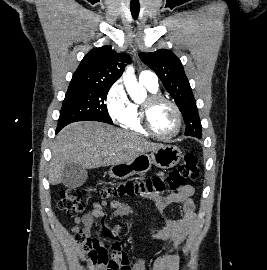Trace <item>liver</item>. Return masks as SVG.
Wrapping results in <instances>:
<instances>
[{
  "label": "liver",
  "mask_w": 267,
  "mask_h": 270,
  "mask_svg": "<svg viewBox=\"0 0 267 270\" xmlns=\"http://www.w3.org/2000/svg\"><path fill=\"white\" fill-rule=\"evenodd\" d=\"M161 144L146 140L136 133L109 124L81 121L64 127L52 146L49 183L62 182L66 164H80L85 169L113 166L133 160L155 150Z\"/></svg>",
  "instance_id": "obj_1"
}]
</instances>
